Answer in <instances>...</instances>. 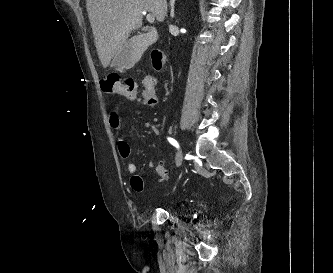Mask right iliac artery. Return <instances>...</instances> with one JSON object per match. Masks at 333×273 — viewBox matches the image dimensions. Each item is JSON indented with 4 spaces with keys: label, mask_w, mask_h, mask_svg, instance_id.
Listing matches in <instances>:
<instances>
[{
    "label": "right iliac artery",
    "mask_w": 333,
    "mask_h": 273,
    "mask_svg": "<svg viewBox=\"0 0 333 273\" xmlns=\"http://www.w3.org/2000/svg\"><path fill=\"white\" fill-rule=\"evenodd\" d=\"M167 139L173 146H175L176 148H179V144L175 139H173L171 137H168Z\"/></svg>",
    "instance_id": "1"
}]
</instances>
